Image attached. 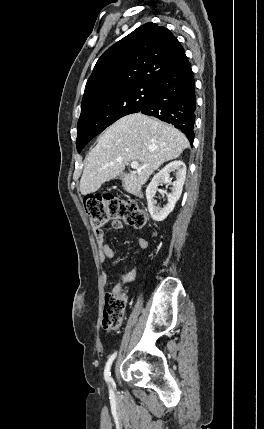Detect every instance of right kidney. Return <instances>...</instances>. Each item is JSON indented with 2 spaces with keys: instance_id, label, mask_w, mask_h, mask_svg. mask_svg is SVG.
Here are the masks:
<instances>
[{
  "instance_id": "obj_1",
  "label": "right kidney",
  "mask_w": 264,
  "mask_h": 429,
  "mask_svg": "<svg viewBox=\"0 0 264 429\" xmlns=\"http://www.w3.org/2000/svg\"><path fill=\"white\" fill-rule=\"evenodd\" d=\"M175 172L176 180L172 182L170 173ZM186 178V166L183 161L176 160L167 164L161 171H159L151 180L150 184L146 189V198L148 202V209L151 217L155 221H163L173 211L175 204L179 200L184 181ZM172 182V191L167 194L168 203L160 208L156 206V200L154 199L158 186L162 183L168 184Z\"/></svg>"
}]
</instances>
